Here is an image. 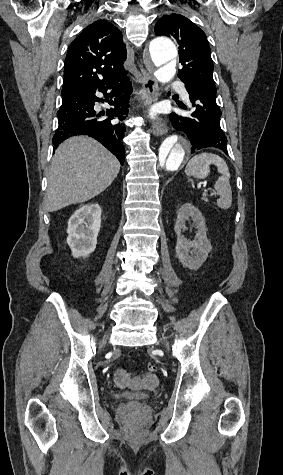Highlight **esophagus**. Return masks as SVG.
<instances>
[{
  "label": "esophagus",
  "instance_id": "34e87169",
  "mask_svg": "<svg viewBox=\"0 0 283 475\" xmlns=\"http://www.w3.org/2000/svg\"><path fill=\"white\" fill-rule=\"evenodd\" d=\"M142 87L140 90L144 104H150L157 100L160 95L157 80L141 67ZM153 134L156 136L164 135L167 132V125L161 119L155 120L152 125Z\"/></svg>",
  "mask_w": 283,
  "mask_h": 475
}]
</instances>
